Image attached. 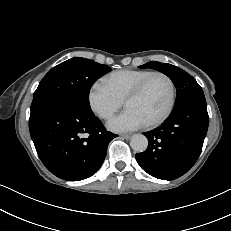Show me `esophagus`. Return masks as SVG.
I'll return each mask as SVG.
<instances>
[{
    "instance_id": "34e87169",
    "label": "esophagus",
    "mask_w": 231,
    "mask_h": 231,
    "mask_svg": "<svg viewBox=\"0 0 231 231\" xmlns=\"http://www.w3.org/2000/svg\"><path fill=\"white\" fill-rule=\"evenodd\" d=\"M131 134H122L121 137L124 139H130L131 138Z\"/></svg>"
}]
</instances>
